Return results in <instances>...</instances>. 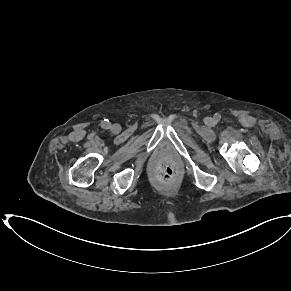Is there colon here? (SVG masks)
<instances>
[{"label":"colon","mask_w":291,"mask_h":291,"mask_svg":"<svg viewBox=\"0 0 291 291\" xmlns=\"http://www.w3.org/2000/svg\"><path fill=\"white\" fill-rule=\"evenodd\" d=\"M176 174V167L170 161L162 162L157 169V177L162 182H171Z\"/></svg>","instance_id":"1"}]
</instances>
